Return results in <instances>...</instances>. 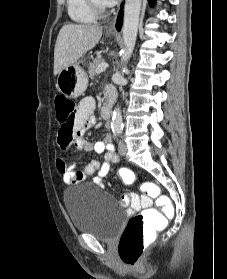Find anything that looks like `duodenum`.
<instances>
[{
  "mask_svg": "<svg viewBox=\"0 0 227 279\" xmlns=\"http://www.w3.org/2000/svg\"><path fill=\"white\" fill-rule=\"evenodd\" d=\"M112 109H113V106H112L111 103L105 105L103 110H102L103 118L109 119L111 117V114H112Z\"/></svg>",
  "mask_w": 227,
  "mask_h": 279,
  "instance_id": "1",
  "label": "duodenum"
}]
</instances>
